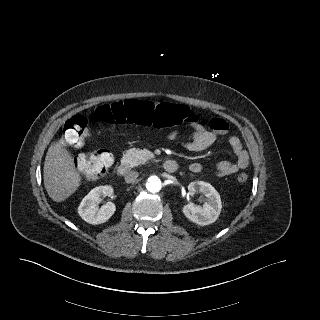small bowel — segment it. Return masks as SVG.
Returning a JSON list of instances; mask_svg holds the SVG:
<instances>
[{"label":"small bowel","mask_w":320,"mask_h":320,"mask_svg":"<svg viewBox=\"0 0 320 320\" xmlns=\"http://www.w3.org/2000/svg\"><path fill=\"white\" fill-rule=\"evenodd\" d=\"M186 109V107H184ZM188 117L186 118L187 126L192 132L188 140L183 142V147L194 153L202 152L213 145L220 135H223L228 130V124L221 118H213L209 121L208 130L205 125L198 119L195 114L190 113L187 109ZM177 132L169 134L170 139H176ZM229 145L233 154L236 157L235 161L222 160L215 166L216 174L220 177L232 175L241 169H245L249 164V156L245 150L241 140L237 136L229 137ZM203 169V165L199 162H193L189 165V170L192 173H199Z\"/></svg>","instance_id":"small-bowel-1"}]
</instances>
